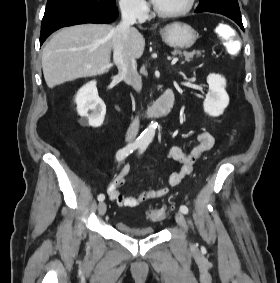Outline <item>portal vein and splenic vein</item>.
Returning <instances> with one entry per match:
<instances>
[{
	"instance_id": "obj_1",
	"label": "portal vein and splenic vein",
	"mask_w": 280,
	"mask_h": 283,
	"mask_svg": "<svg viewBox=\"0 0 280 283\" xmlns=\"http://www.w3.org/2000/svg\"><path fill=\"white\" fill-rule=\"evenodd\" d=\"M178 60H179L178 57L173 58L171 61V65H175L178 62Z\"/></svg>"
}]
</instances>
